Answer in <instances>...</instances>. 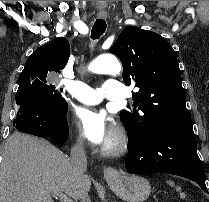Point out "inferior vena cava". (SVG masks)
Returning <instances> with one entry per match:
<instances>
[{"label":"inferior vena cava","instance_id":"1","mask_svg":"<svg viewBox=\"0 0 209 202\" xmlns=\"http://www.w3.org/2000/svg\"><path fill=\"white\" fill-rule=\"evenodd\" d=\"M71 164L76 176L82 177L87 169V157L82 141H78L71 149ZM81 202H91L88 193L82 192Z\"/></svg>","mask_w":209,"mask_h":202}]
</instances>
